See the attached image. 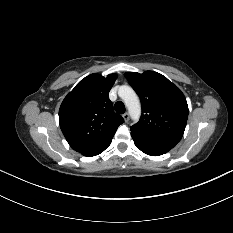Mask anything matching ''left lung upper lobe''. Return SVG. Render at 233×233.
Returning <instances> with one entry per match:
<instances>
[{"instance_id": "5c2ea615", "label": "left lung upper lobe", "mask_w": 233, "mask_h": 233, "mask_svg": "<svg viewBox=\"0 0 233 233\" xmlns=\"http://www.w3.org/2000/svg\"><path fill=\"white\" fill-rule=\"evenodd\" d=\"M140 96L142 115L130 129L135 134L179 142L183 136L188 105L181 90L163 75L146 71L124 74Z\"/></svg>"}]
</instances>
